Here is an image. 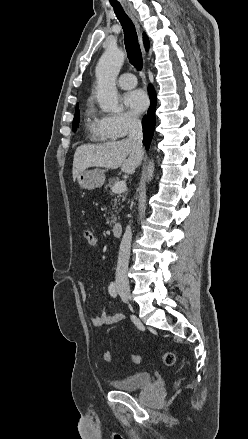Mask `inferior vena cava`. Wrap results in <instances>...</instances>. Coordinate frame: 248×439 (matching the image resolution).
<instances>
[{
  "label": "inferior vena cava",
  "mask_w": 248,
  "mask_h": 439,
  "mask_svg": "<svg viewBox=\"0 0 248 439\" xmlns=\"http://www.w3.org/2000/svg\"><path fill=\"white\" fill-rule=\"evenodd\" d=\"M142 125L141 121L136 117H131L129 119V134L128 140L134 144V147L143 153L142 149ZM132 241L131 227L127 226L124 236L122 238L118 256V263L116 268V281L119 285L129 286V281L127 277L130 249Z\"/></svg>",
  "instance_id": "obj_1"
}]
</instances>
